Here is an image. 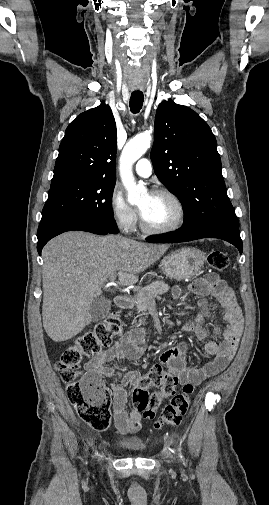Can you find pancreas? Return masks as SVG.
Masks as SVG:
<instances>
[{
  "label": "pancreas",
  "instance_id": "cf45deb5",
  "mask_svg": "<svg viewBox=\"0 0 269 505\" xmlns=\"http://www.w3.org/2000/svg\"><path fill=\"white\" fill-rule=\"evenodd\" d=\"M170 287L163 281H156L152 284L138 288L136 291V310L138 313L144 312L149 309V307L154 304L155 297L169 291ZM131 313H129V316ZM136 322V320H134ZM142 323V320H140Z\"/></svg>",
  "mask_w": 269,
  "mask_h": 505
}]
</instances>
